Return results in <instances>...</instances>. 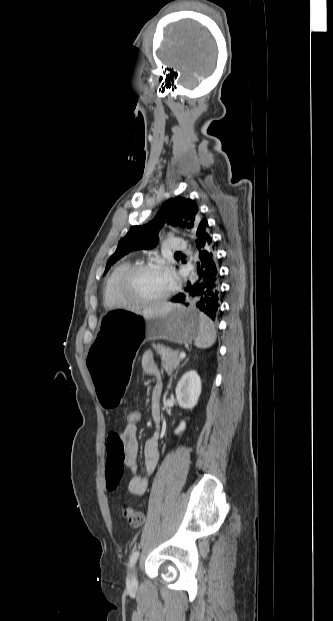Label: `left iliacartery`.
<instances>
[{
	"instance_id": "44dca946",
	"label": "left iliac artery",
	"mask_w": 333,
	"mask_h": 621,
	"mask_svg": "<svg viewBox=\"0 0 333 621\" xmlns=\"http://www.w3.org/2000/svg\"><path fill=\"white\" fill-rule=\"evenodd\" d=\"M138 556H139V551L138 550L132 553V555L130 557V561H129V568H132V566L137 561Z\"/></svg>"
}]
</instances>
